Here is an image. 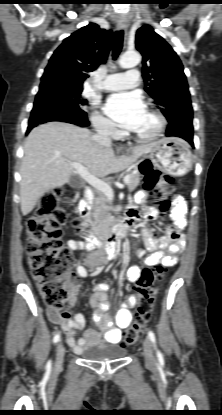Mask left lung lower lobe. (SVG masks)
<instances>
[{"label":"left lung lower lobe","mask_w":222,"mask_h":415,"mask_svg":"<svg viewBox=\"0 0 222 415\" xmlns=\"http://www.w3.org/2000/svg\"><path fill=\"white\" fill-rule=\"evenodd\" d=\"M192 118V112H186L178 121L169 123L166 130V136L183 138L194 146Z\"/></svg>","instance_id":"left-lung-lower-lobe-1"}]
</instances>
